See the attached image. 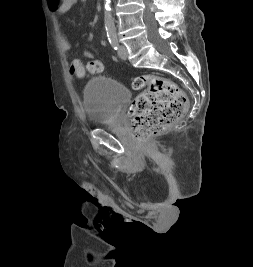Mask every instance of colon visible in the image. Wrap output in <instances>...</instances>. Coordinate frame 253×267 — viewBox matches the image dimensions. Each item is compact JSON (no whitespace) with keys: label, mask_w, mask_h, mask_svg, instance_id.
I'll return each mask as SVG.
<instances>
[{"label":"colon","mask_w":253,"mask_h":267,"mask_svg":"<svg viewBox=\"0 0 253 267\" xmlns=\"http://www.w3.org/2000/svg\"><path fill=\"white\" fill-rule=\"evenodd\" d=\"M88 59L87 70L92 74L102 72L103 66L85 51ZM70 72L78 77L85 75V68L78 60L70 64ZM133 88L142 92L132 102L128 116L133 136L145 143L161 133L187 110L188 100L185 93L169 79L158 75H144L133 80Z\"/></svg>","instance_id":"5ec220e1"}]
</instances>
